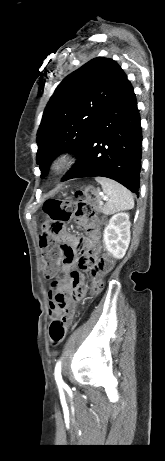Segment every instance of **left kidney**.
Wrapping results in <instances>:
<instances>
[{
    "instance_id": "obj_1",
    "label": "left kidney",
    "mask_w": 165,
    "mask_h": 461,
    "mask_svg": "<svg viewBox=\"0 0 165 461\" xmlns=\"http://www.w3.org/2000/svg\"><path fill=\"white\" fill-rule=\"evenodd\" d=\"M129 214L120 212L113 215L105 227L103 238L107 251L115 258L124 257L130 243Z\"/></svg>"
}]
</instances>
